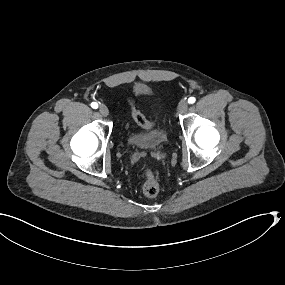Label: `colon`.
<instances>
[{
  "label": "colon",
  "mask_w": 285,
  "mask_h": 285,
  "mask_svg": "<svg viewBox=\"0 0 285 285\" xmlns=\"http://www.w3.org/2000/svg\"><path fill=\"white\" fill-rule=\"evenodd\" d=\"M130 102L132 103V99H130ZM132 117L139 126L145 129H149L153 126V123L134 107L132 108ZM141 189L143 194L147 197H154L159 193V180L155 173L149 168L145 170V181L142 183Z\"/></svg>",
  "instance_id": "5ec220e1"
}]
</instances>
